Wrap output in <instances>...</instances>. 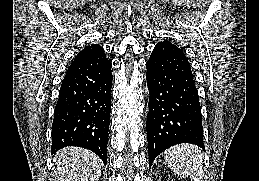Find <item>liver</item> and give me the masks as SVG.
Here are the masks:
<instances>
[{
    "label": "liver",
    "instance_id": "6515ba94",
    "mask_svg": "<svg viewBox=\"0 0 259 181\" xmlns=\"http://www.w3.org/2000/svg\"><path fill=\"white\" fill-rule=\"evenodd\" d=\"M55 181H97L102 161L93 152L79 147H66L57 152Z\"/></svg>",
    "mask_w": 259,
    "mask_h": 181
}]
</instances>
